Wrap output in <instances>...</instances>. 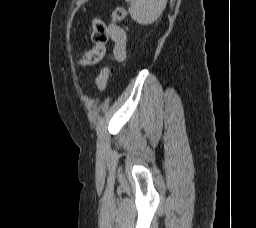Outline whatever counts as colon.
<instances>
[{
  "instance_id": "colon-1",
  "label": "colon",
  "mask_w": 256,
  "mask_h": 228,
  "mask_svg": "<svg viewBox=\"0 0 256 228\" xmlns=\"http://www.w3.org/2000/svg\"><path fill=\"white\" fill-rule=\"evenodd\" d=\"M127 16V10L123 6L116 7L112 14L111 18L114 22H121ZM92 41L94 43V47L91 51L83 55L79 63L81 65H91L100 62L105 54V45L108 40V29L105 23L98 18H95L92 22ZM113 69L111 66H106L102 69L99 76L96 79V84L98 89L103 92L106 90L109 78Z\"/></svg>"
}]
</instances>
